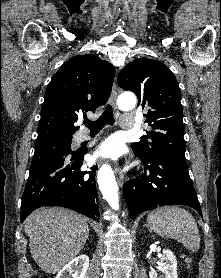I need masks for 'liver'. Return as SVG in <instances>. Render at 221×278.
Returning <instances> with one entry per match:
<instances>
[{
	"instance_id": "liver-1",
	"label": "liver",
	"mask_w": 221,
	"mask_h": 278,
	"mask_svg": "<svg viewBox=\"0 0 221 278\" xmlns=\"http://www.w3.org/2000/svg\"><path fill=\"white\" fill-rule=\"evenodd\" d=\"M30 253L46 273L55 274L76 257L89 236V225L81 215L60 207H42L25 222Z\"/></svg>"
}]
</instances>
